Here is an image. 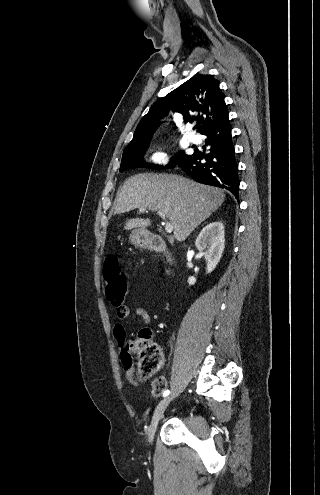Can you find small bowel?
<instances>
[{"mask_svg": "<svg viewBox=\"0 0 320 495\" xmlns=\"http://www.w3.org/2000/svg\"><path fill=\"white\" fill-rule=\"evenodd\" d=\"M131 315H135L139 318H141L144 323L149 324L151 322V317L147 310L142 307H137V308H131L129 306H124V308L121 311H117V317L119 319H125ZM114 335L116 339L119 341L120 344L124 341L125 338V331L123 326L120 323H115L114 325ZM124 353H123V358H124ZM123 364L125 367V373H126V379L128 382L134 386L138 387L139 382L134 378V367L132 365V362L125 363L123 359Z\"/></svg>", "mask_w": 320, "mask_h": 495, "instance_id": "c3829d8e", "label": "small bowel"}]
</instances>
